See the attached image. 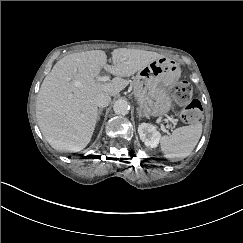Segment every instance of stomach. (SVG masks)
<instances>
[{"mask_svg":"<svg viewBox=\"0 0 243 243\" xmlns=\"http://www.w3.org/2000/svg\"><path fill=\"white\" fill-rule=\"evenodd\" d=\"M179 65L159 58L138 71L133 80L134 96L143 112L150 116L166 115L172 107L168 87L180 77Z\"/></svg>","mask_w":243,"mask_h":243,"instance_id":"stomach-1","label":"stomach"}]
</instances>
